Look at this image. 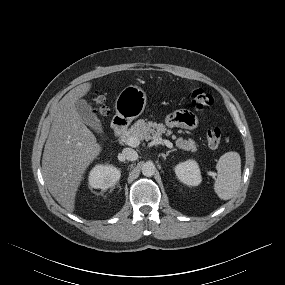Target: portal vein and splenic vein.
<instances>
[{
  "mask_svg": "<svg viewBox=\"0 0 285 285\" xmlns=\"http://www.w3.org/2000/svg\"><path fill=\"white\" fill-rule=\"evenodd\" d=\"M126 144L131 146V147H137L140 144V139L138 137H134V136L129 137L126 140ZM154 144H162V145L167 146L168 148L173 147V144L169 140L161 139V138L155 140Z\"/></svg>",
  "mask_w": 285,
  "mask_h": 285,
  "instance_id": "18ae733b",
  "label": "portal vein and splenic vein"
}]
</instances>
